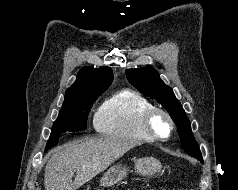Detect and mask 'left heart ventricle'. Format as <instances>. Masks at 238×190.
Returning a JSON list of instances; mask_svg holds the SVG:
<instances>
[{"label": "left heart ventricle", "mask_w": 238, "mask_h": 190, "mask_svg": "<svg viewBox=\"0 0 238 190\" xmlns=\"http://www.w3.org/2000/svg\"><path fill=\"white\" fill-rule=\"evenodd\" d=\"M155 127L156 129L161 132V133H165L167 131V123L166 121L161 118V117H158L156 120H155Z\"/></svg>", "instance_id": "b2bd125f"}]
</instances>
